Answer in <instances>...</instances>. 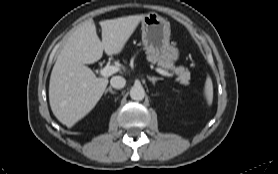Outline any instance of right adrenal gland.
Returning a JSON list of instances; mask_svg holds the SVG:
<instances>
[{
  "mask_svg": "<svg viewBox=\"0 0 278 174\" xmlns=\"http://www.w3.org/2000/svg\"><path fill=\"white\" fill-rule=\"evenodd\" d=\"M107 92H111L112 94H114V93H115V92L112 90V88H111V87H109V88H107V89H106L105 94H106Z\"/></svg>",
  "mask_w": 278,
  "mask_h": 174,
  "instance_id": "1",
  "label": "right adrenal gland"
}]
</instances>
